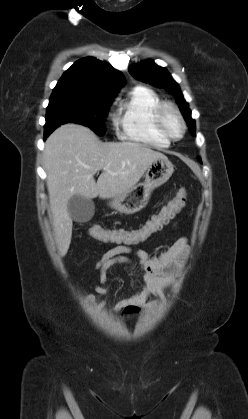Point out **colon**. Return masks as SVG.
Returning a JSON list of instances; mask_svg holds the SVG:
<instances>
[{
    "instance_id": "5ec220e1",
    "label": "colon",
    "mask_w": 248,
    "mask_h": 419,
    "mask_svg": "<svg viewBox=\"0 0 248 419\" xmlns=\"http://www.w3.org/2000/svg\"><path fill=\"white\" fill-rule=\"evenodd\" d=\"M187 197L184 188H180L175 196L157 214L148 220L144 230L136 235H129L121 230L106 229L95 226L90 229V235L101 242L129 243L136 238L160 230L183 208Z\"/></svg>"
}]
</instances>
